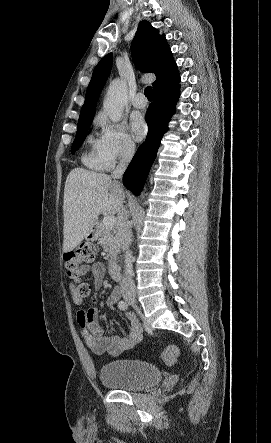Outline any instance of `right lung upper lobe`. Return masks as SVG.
Segmentation results:
<instances>
[{
  "instance_id": "right-lung-upper-lobe-1",
  "label": "right lung upper lobe",
  "mask_w": 271,
  "mask_h": 443,
  "mask_svg": "<svg viewBox=\"0 0 271 443\" xmlns=\"http://www.w3.org/2000/svg\"><path fill=\"white\" fill-rule=\"evenodd\" d=\"M131 54L135 64L142 72L156 75V81L152 84L154 90L179 78L177 65L164 35H159V30L152 27L146 20L139 23L131 44ZM111 67L112 53H109L100 60L93 71L79 119L94 117L96 102Z\"/></svg>"
}]
</instances>
